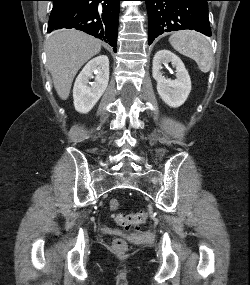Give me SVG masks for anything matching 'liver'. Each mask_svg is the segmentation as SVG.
Returning <instances> with one entry per match:
<instances>
[{"label": "liver", "instance_id": "6515ba94", "mask_svg": "<svg viewBox=\"0 0 250 285\" xmlns=\"http://www.w3.org/2000/svg\"><path fill=\"white\" fill-rule=\"evenodd\" d=\"M101 50V42L81 31H55L46 42L47 67L62 100L69 97L78 70Z\"/></svg>", "mask_w": 250, "mask_h": 285}]
</instances>
